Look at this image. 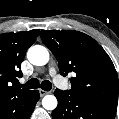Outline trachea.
<instances>
[{"mask_svg": "<svg viewBox=\"0 0 119 119\" xmlns=\"http://www.w3.org/2000/svg\"><path fill=\"white\" fill-rule=\"evenodd\" d=\"M22 86L29 89H36L41 87L45 91H50L52 88V84L50 81L44 80L40 85L38 79L36 78L30 79L28 82H26Z\"/></svg>", "mask_w": 119, "mask_h": 119, "instance_id": "1", "label": "trachea"}]
</instances>
